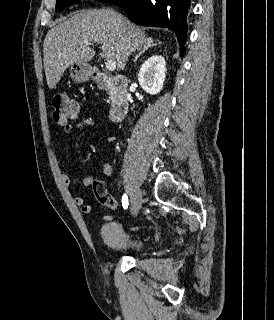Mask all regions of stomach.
<instances>
[{
    "label": "stomach",
    "mask_w": 274,
    "mask_h": 320,
    "mask_svg": "<svg viewBox=\"0 0 274 320\" xmlns=\"http://www.w3.org/2000/svg\"><path fill=\"white\" fill-rule=\"evenodd\" d=\"M70 72L75 82H87L93 74V68L89 64H72Z\"/></svg>",
    "instance_id": "stomach-1"
}]
</instances>
